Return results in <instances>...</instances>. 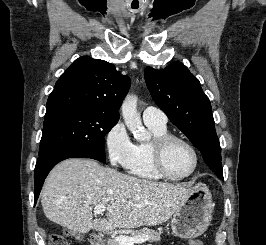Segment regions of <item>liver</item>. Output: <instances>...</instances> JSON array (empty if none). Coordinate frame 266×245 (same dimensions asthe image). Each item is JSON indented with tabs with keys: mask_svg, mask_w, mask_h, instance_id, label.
<instances>
[{
	"mask_svg": "<svg viewBox=\"0 0 266 245\" xmlns=\"http://www.w3.org/2000/svg\"><path fill=\"white\" fill-rule=\"evenodd\" d=\"M191 189L153 183L102 167L93 159H67L49 173L41 191L49 221L75 233L90 229H137L165 223L186 203ZM105 205L106 219H93V209Z\"/></svg>",
	"mask_w": 266,
	"mask_h": 245,
	"instance_id": "liver-1",
	"label": "liver"
}]
</instances>
